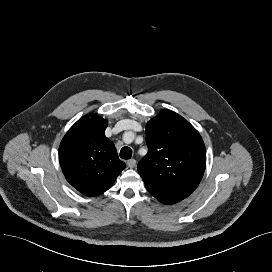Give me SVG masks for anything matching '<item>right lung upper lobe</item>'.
Wrapping results in <instances>:
<instances>
[{"label": "right lung upper lobe", "instance_id": "right-lung-upper-lobe-1", "mask_svg": "<svg viewBox=\"0 0 272 272\" xmlns=\"http://www.w3.org/2000/svg\"><path fill=\"white\" fill-rule=\"evenodd\" d=\"M107 120L93 115L79 119L59 147V161L67 181L86 196L108 190L125 168L112 141L105 136Z\"/></svg>", "mask_w": 272, "mask_h": 272}]
</instances>
